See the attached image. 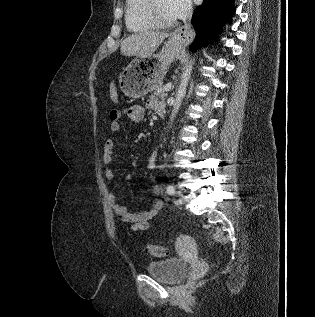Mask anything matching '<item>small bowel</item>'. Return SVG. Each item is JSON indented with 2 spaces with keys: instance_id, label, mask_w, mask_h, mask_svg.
<instances>
[{
  "instance_id": "c3829d8e",
  "label": "small bowel",
  "mask_w": 315,
  "mask_h": 317,
  "mask_svg": "<svg viewBox=\"0 0 315 317\" xmlns=\"http://www.w3.org/2000/svg\"><path fill=\"white\" fill-rule=\"evenodd\" d=\"M146 109L159 113V111L165 110V106L159 100L150 99L147 101L145 107L134 105L124 110L113 109L109 114L110 130L112 132L118 131L120 129V120L124 117H127L133 123L142 122ZM114 148V141L112 139H107L103 146V163L105 166V176L109 181H112L115 177V170L113 166ZM156 167V152H153L149 157L148 168L155 169ZM126 180L130 181L131 176L127 175ZM152 193L156 196L159 195L161 193V187L159 185H154L152 187ZM108 200L112 206L115 216L122 222L130 224L132 231L147 232L150 227L149 220L154 218L163 206L162 200L154 199L152 207L149 210L142 212H129L124 205L116 201V196L113 193L109 194Z\"/></svg>"
}]
</instances>
